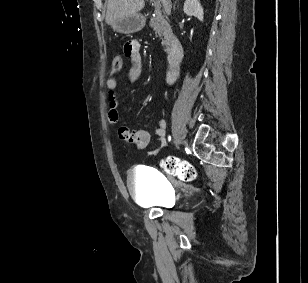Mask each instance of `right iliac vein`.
<instances>
[{
    "label": "right iliac vein",
    "instance_id": "obj_1",
    "mask_svg": "<svg viewBox=\"0 0 308 283\" xmlns=\"http://www.w3.org/2000/svg\"><path fill=\"white\" fill-rule=\"evenodd\" d=\"M179 141H178V139H175V143H178Z\"/></svg>",
    "mask_w": 308,
    "mask_h": 283
}]
</instances>
